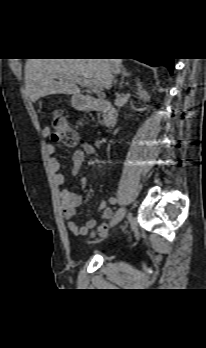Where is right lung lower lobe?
<instances>
[{
	"mask_svg": "<svg viewBox=\"0 0 206 348\" xmlns=\"http://www.w3.org/2000/svg\"><path fill=\"white\" fill-rule=\"evenodd\" d=\"M150 66H166L170 73L173 71V59L172 58H148V59H138Z\"/></svg>",
	"mask_w": 206,
	"mask_h": 348,
	"instance_id": "obj_1",
	"label": "right lung lower lobe"
}]
</instances>
